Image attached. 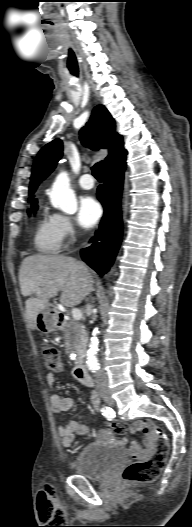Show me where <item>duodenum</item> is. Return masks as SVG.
Instances as JSON below:
<instances>
[{
  "instance_id": "obj_1",
  "label": "duodenum",
  "mask_w": 192,
  "mask_h": 527,
  "mask_svg": "<svg viewBox=\"0 0 192 527\" xmlns=\"http://www.w3.org/2000/svg\"><path fill=\"white\" fill-rule=\"evenodd\" d=\"M63 320V315L59 316L60 323ZM74 375L75 377L84 385L91 386L93 385V379L88 374L85 366L83 364H78L74 369Z\"/></svg>"
}]
</instances>
